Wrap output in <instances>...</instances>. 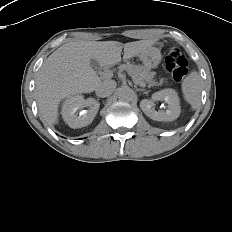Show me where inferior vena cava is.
Masks as SVG:
<instances>
[{"label":"inferior vena cava","mask_w":232,"mask_h":232,"mask_svg":"<svg viewBox=\"0 0 232 232\" xmlns=\"http://www.w3.org/2000/svg\"><path fill=\"white\" fill-rule=\"evenodd\" d=\"M116 85L114 80H104L96 88V95L102 98L108 97L114 92Z\"/></svg>","instance_id":"1"}]
</instances>
